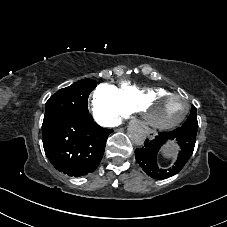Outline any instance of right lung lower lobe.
Returning a JSON list of instances; mask_svg holds the SVG:
<instances>
[{
	"label": "right lung lower lobe",
	"instance_id": "obj_1",
	"mask_svg": "<svg viewBox=\"0 0 227 227\" xmlns=\"http://www.w3.org/2000/svg\"><path fill=\"white\" fill-rule=\"evenodd\" d=\"M112 132L95 123L89 113L68 115L42 125L43 147L57 170L79 177L98 167Z\"/></svg>",
	"mask_w": 227,
	"mask_h": 227
}]
</instances>
